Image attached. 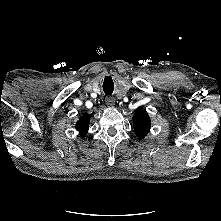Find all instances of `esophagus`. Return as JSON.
Segmentation results:
<instances>
[{
  "instance_id": "esophagus-1",
  "label": "esophagus",
  "mask_w": 221,
  "mask_h": 221,
  "mask_svg": "<svg viewBox=\"0 0 221 221\" xmlns=\"http://www.w3.org/2000/svg\"><path fill=\"white\" fill-rule=\"evenodd\" d=\"M106 103H107V105L109 106V107H113L114 106V104H115V100L113 99V98H111V97H107L106 98Z\"/></svg>"
}]
</instances>
